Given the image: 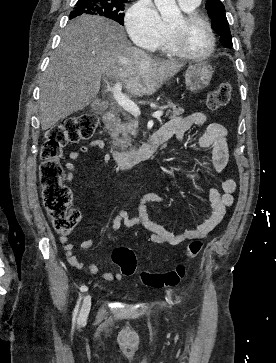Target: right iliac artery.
I'll list each match as a JSON object with an SVG mask.
<instances>
[{"mask_svg":"<svg viewBox=\"0 0 276 363\" xmlns=\"http://www.w3.org/2000/svg\"><path fill=\"white\" fill-rule=\"evenodd\" d=\"M87 286H85V285H82L81 287H80V291H81V293L79 294V298H78V300H77V303H76V306H75V308H74V311H73V321H75V319H76V316H77V314H78V311H79V306H80V303H81V300H82V297H83V293L84 292H86L87 291Z\"/></svg>","mask_w":276,"mask_h":363,"instance_id":"1","label":"right iliac artery"}]
</instances>
